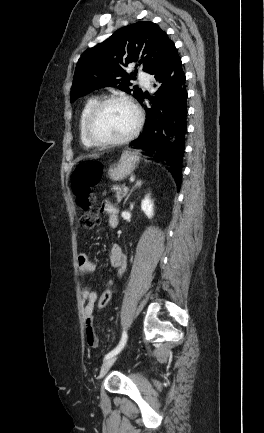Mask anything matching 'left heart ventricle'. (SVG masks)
Returning <instances> with one entry per match:
<instances>
[{
  "label": "left heart ventricle",
  "mask_w": 264,
  "mask_h": 433,
  "mask_svg": "<svg viewBox=\"0 0 264 433\" xmlns=\"http://www.w3.org/2000/svg\"><path fill=\"white\" fill-rule=\"evenodd\" d=\"M135 121V113L128 105L111 103L99 111L91 130L93 135L99 139H118L132 130Z\"/></svg>",
  "instance_id": "1"
}]
</instances>
